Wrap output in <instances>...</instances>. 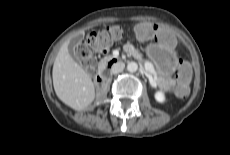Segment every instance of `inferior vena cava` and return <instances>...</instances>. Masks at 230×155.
Here are the masks:
<instances>
[{
  "instance_id": "1",
  "label": "inferior vena cava",
  "mask_w": 230,
  "mask_h": 155,
  "mask_svg": "<svg viewBox=\"0 0 230 155\" xmlns=\"http://www.w3.org/2000/svg\"><path fill=\"white\" fill-rule=\"evenodd\" d=\"M124 67H125V64L123 62H121V61L117 62V63L112 65L110 72H111V74H117L119 72H122Z\"/></svg>"
}]
</instances>
